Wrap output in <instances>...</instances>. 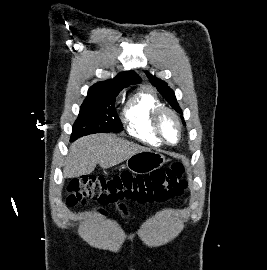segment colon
<instances>
[{
    "label": "colon",
    "mask_w": 267,
    "mask_h": 270,
    "mask_svg": "<svg viewBox=\"0 0 267 270\" xmlns=\"http://www.w3.org/2000/svg\"><path fill=\"white\" fill-rule=\"evenodd\" d=\"M183 171V165L177 162L168 169L147 174L123 172L112 177L82 176L70 183L66 204L79 206L88 200L109 204L124 199L138 203L165 202L182 195L187 188Z\"/></svg>",
    "instance_id": "obj_1"
}]
</instances>
